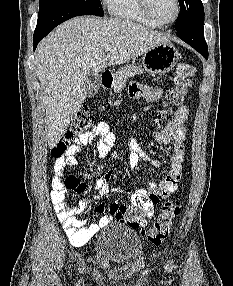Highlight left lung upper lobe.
<instances>
[{
    "instance_id": "1",
    "label": "left lung upper lobe",
    "mask_w": 233,
    "mask_h": 286,
    "mask_svg": "<svg viewBox=\"0 0 233 286\" xmlns=\"http://www.w3.org/2000/svg\"><path fill=\"white\" fill-rule=\"evenodd\" d=\"M180 16L176 20V30L204 19V8L201 0H178Z\"/></svg>"
}]
</instances>
